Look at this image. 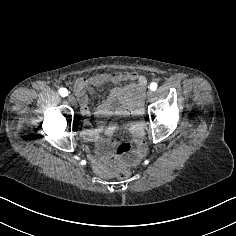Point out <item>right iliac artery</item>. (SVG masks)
Here are the masks:
<instances>
[{"mask_svg": "<svg viewBox=\"0 0 236 236\" xmlns=\"http://www.w3.org/2000/svg\"><path fill=\"white\" fill-rule=\"evenodd\" d=\"M59 94L62 96V97H65L68 95V91L66 88H60L59 89Z\"/></svg>", "mask_w": 236, "mask_h": 236, "instance_id": "1", "label": "right iliac artery"}]
</instances>
